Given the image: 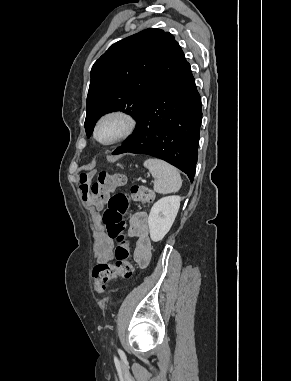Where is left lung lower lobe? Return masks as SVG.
<instances>
[{
  "label": "left lung lower lobe",
  "mask_w": 291,
  "mask_h": 381,
  "mask_svg": "<svg viewBox=\"0 0 291 381\" xmlns=\"http://www.w3.org/2000/svg\"><path fill=\"white\" fill-rule=\"evenodd\" d=\"M201 121L200 95L185 61L149 99L134 133L113 154L131 152L163 159L185 172L192 182Z\"/></svg>",
  "instance_id": "left-lung-lower-lobe-1"
}]
</instances>
